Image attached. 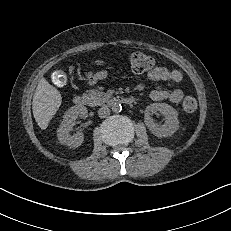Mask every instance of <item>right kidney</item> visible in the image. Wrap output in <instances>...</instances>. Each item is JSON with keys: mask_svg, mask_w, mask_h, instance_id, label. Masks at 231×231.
Masks as SVG:
<instances>
[{"mask_svg": "<svg viewBox=\"0 0 231 231\" xmlns=\"http://www.w3.org/2000/svg\"><path fill=\"white\" fill-rule=\"evenodd\" d=\"M87 109L84 106H73L68 111H66L63 121L57 130V137L61 144H65L69 147L76 148L79 147L84 141V135L81 132L70 133L75 120L78 117L86 118Z\"/></svg>", "mask_w": 231, "mask_h": 231, "instance_id": "ca27d5eb", "label": "right kidney"}]
</instances>
